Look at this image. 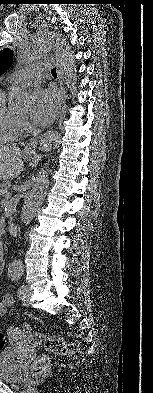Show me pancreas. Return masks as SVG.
<instances>
[{
    "label": "pancreas",
    "instance_id": "1",
    "mask_svg": "<svg viewBox=\"0 0 153 393\" xmlns=\"http://www.w3.org/2000/svg\"><path fill=\"white\" fill-rule=\"evenodd\" d=\"M11 187V182L9 180H4L0 184V196H6V194L10 193L9 189Z\"/></svg>",
    "mask_w": 153,
    "mask_h": 393
}]
</instances>
